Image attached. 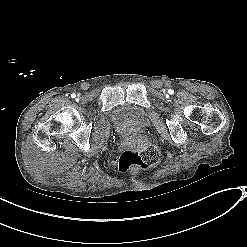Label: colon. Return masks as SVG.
<instances>
[{"instance_id": "colon-1", "label": "colon", "mask_w": 247, "mask_h": 247, "mask_svg": "<svg viewBox=\"0 0 247 247\" xmlns=\"http://www.w3.org/2000/svg\"><path fill=\"white\" fill-rule=\"evenodd\" d=\"M120 170L126 171L132 168H149L160 160V152L157 146L150 141H140L133 149L120 155Z\"/></svg>"}]
</instances>
